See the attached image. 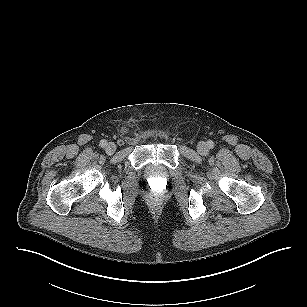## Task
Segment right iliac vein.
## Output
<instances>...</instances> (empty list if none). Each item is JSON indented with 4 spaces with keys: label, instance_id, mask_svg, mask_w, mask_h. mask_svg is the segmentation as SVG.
Instances as JSON below:
<instances>
[{
    "label": "right iliac vein",
    "instance_id": "right-iliac-vein-1",
    "mask_svg": "<svg viewBox=\"0 0 307 307\" xmlns=\"http://www.w3.org/2000/svg\"><path fill=\"white\" fill-rule=\"evenodd\" d=\"M105 151L107 154L111 155L116 151V145L113 142H109L106 144Z\"/></svg>",
    "mask_w": 307,
    "mask_h": 307
}]
</instances>
